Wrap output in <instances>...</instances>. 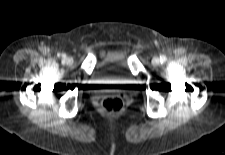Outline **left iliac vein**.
Here are the masks:
<instances>
[{
  "label": "left iliac vein",
  "mask_w": 225,
  "mask_h": 155,
  "mask_svg": "<svg viewBox=\"0 0 225 155\" xmlns=\"http://www.w3.org/2000/svg\"><path fill=\"white\" fill-rule=\"evenodd\" d=\"M152 63H153L154 65H158V64L160 63L159 58H157V57L153 58Z\"/></svg>",
  "instance_id": "obj_1"
}]
</instances>
